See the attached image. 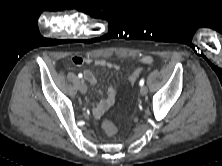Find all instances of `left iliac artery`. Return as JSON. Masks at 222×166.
<instances>
[{"label":"left iliac artery","instance_id":"obj_1","mask_svg":"<svg viewBox=\"0 0 222 166\" xmlns=\"http://www.w3.org/2000/svg\"><path fill=\"white\" fill-rule=\"evenodd\" d=\"M144 82H145L144 79H141L140 82H139V85H140V86H143V85H144Z\"/></svg>","mask_w":222,"mask_h":166}]
</instances>
